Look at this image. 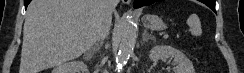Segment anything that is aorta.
Returning a JSON list of instances; mask_svg holds the SVG:
<instances>
[{"mask_svg":"<svg viewBox=\"0 0 244 73\" xmlns=\"http://www.w3.org/2000/svg\"><path fill=\"white\" fill-rule=\"evenodd\" d=\"M136 42V27L134 20L128 14L122 17L121 39L119 44V52L117 55V65L121 68L129 59L133 52Z\"/></svg>","mask_w":244,"mask_h":73,"instance_id":"obj_1","label":"aorta"}]
</instances>
